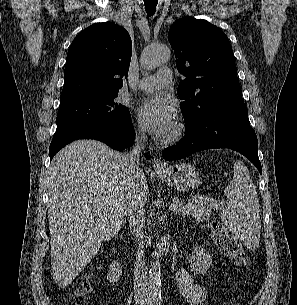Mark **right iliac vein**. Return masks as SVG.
<instances>
[{"instance_id": "right-iliac-vein-1", "label": "right iliac vein", "mask_w": 297, "mask_h": 305, "mask_svg": "<svg viewBox=\"0 0 297 305\" xmlns=\"http://www.w3.org/2000/svg\"><path fill=\"white\" fill-rule=\"evenodd\" d=\"M138 305H145V304H142V303H141V304H138Z\"/></svg>"}]
</instances>
